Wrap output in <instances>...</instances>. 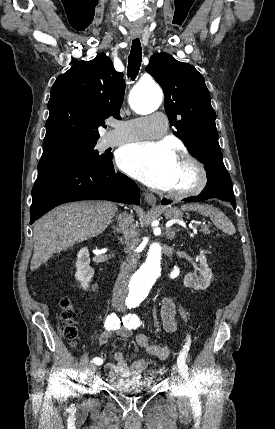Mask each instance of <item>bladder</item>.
<instances>
[{
	"label": "bladder",
	"instance_id": "1",
	"mask_svg": "<svg viewBox=\"0 0 275 429\" xmlns=\"http://www.w3.org/2000/svg\"><path fill=\"white\" fill-rule=\"evenodd\" d=\"M111 387H115L116 393H125L127 398H132L134 393H151L152 386L147 384L146 378H120L119 381H110Z\"/></svg>",
	"mask_w": 275,
	"mask_h": 429
}]
</instances>
